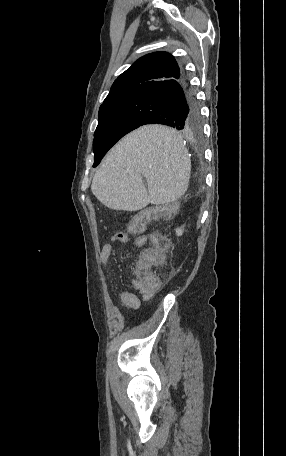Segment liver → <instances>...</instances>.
I'll list each match as a JSON object with an SVG mask.
<instances>
[{
    "label": "liver",
    "mask_w": 286,
    "mask_h": 456,
    "mask_svg": "<svg viewBox=\"0 0 286 456\" xmlns=\"http://www.w3.org/2000/svg\"><path fill=\"white\" fill-rule=\"evenodd\" d=\"M190 172L181 134L170 127L146 125L110 150L94 175L91 190L110 209L137 211L149 203L164 205L181 198Z\"/></svg>",
    "instance_id": "6515ba94"
}]
</instances>
